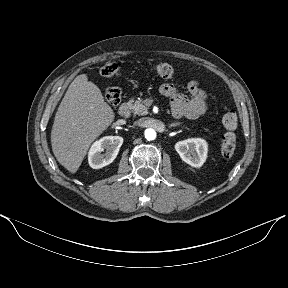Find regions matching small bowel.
<instances>
[{"instance_id":"c3829d8e","label":"small bowel","mask_w":288,"mask_h":288,"mask_svg":"<svg viewBox=\"0 0 288 288\" xmlns=\"http://www.w3.org/2000/svg\"><path fill=\"white\" fill-rule=\"evenodd\" d=\"M188 90L191 94L190 97L179 93L171 83H164L159 88L160 93L170 99L172 114L176 118L186 117L195 119L206 111L207 95L199 87L198 82L191 81L188 84Z\"/></svg>"}]
</instances>
